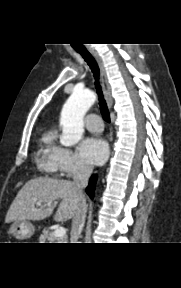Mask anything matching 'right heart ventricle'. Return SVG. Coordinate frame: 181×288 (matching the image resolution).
Returning <instances> with one entry per match:
<instances>
[{
    "instance_id": "e07e8e85",
    "label": "right heart ventricle",
    "mask_w": 181,
    "mask_h": 288,
    "mask_svg": "<svg viewBox=\"0 0 181 288\" xmlns=\"http://www.w3.org/2000/svg\"><path fill=\"white\" fill-rule=\"evenodd\" d=\"M55 134L53 131H47L40 139L41 155L39 158V165L45 170H54V161L52 152L54 149Z\"/></svg>"
}]
</instances>
